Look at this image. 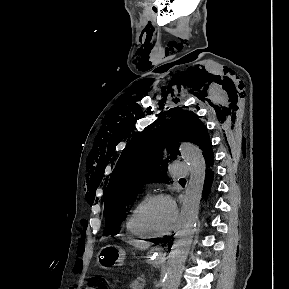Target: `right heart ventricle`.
Here are the masks:
<instances>
[{
	"instance_id": "right-heart-ventricle-1",
	"label": "right heart ventricle",
	"mask_w": 289,
	"mask_h": 289,
	"mask_svg": "<svg viewBox=\"0 0 289 289\" xmlns=\"http://www.w3.org/2000/svg\"><path fill=\"white\" fill-rule=\"evenodd\" d=\"M146 198L147 196H144L141 200L138 201V203L128 213L125 220L126 231L132 236L138 238H150V236L141 228L138 222V212Z\"/></svg>"
}]
</instances>
